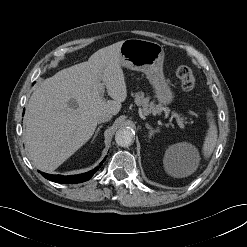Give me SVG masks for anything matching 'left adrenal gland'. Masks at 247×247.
Segmentation results:
<instances>
[{"label": "left adrenal gland", "mask_w": 247, "mask_h": 247, "mask_svg": "<svg viewBox=\"0 0 247 247\" xmlns=\"http://www.w3.org/2000/svg\"><path fill=\"white\" fill-rule=\"evenodd\" d=\"M145 126L149 130V138L158 132V130L153 129L148 123H146Z\"/></svg>", "instance_id": "1"}]
</instances>
